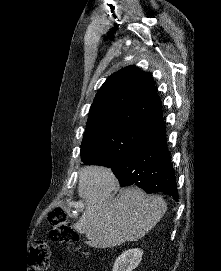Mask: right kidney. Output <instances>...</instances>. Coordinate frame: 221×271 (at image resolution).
<instances>
[{"label":"right kidney","mask_w":221,"mask_h":271,"mask_svg":"<svg viewBox=\"0 0 221 271\" xmlns=\"http://www.w3.org/2000/svg\"><path fill=\"white\" fill-rule=\"evenodd\" d=\"M143 255V249L133 247V249H125L114 261L112 271H133L138 267Z\"/></svg>","instance_id":"ca27d5eb"}]
</instances>
